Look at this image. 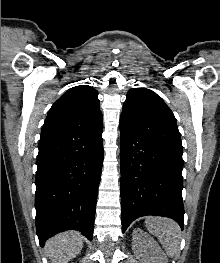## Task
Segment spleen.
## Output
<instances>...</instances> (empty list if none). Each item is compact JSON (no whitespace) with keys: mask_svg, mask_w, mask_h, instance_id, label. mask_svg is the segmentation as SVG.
Instances as JSON below:
<instances>
[{"mask_svg":"<svg viewBox=\"0 0 220 263\" xmlns=\"http://www.w3.org/2000/svg\"><path fill=\"white\" fill-rule=\"evenodd\" d=\"M145 226L152 235L158 238L169 257L179 255L181 229L175 221L169 218L148 217L145 220Z\"/></svg>","mask_w":220,"mask_h":263,"instance_id":"obj_1","label":"spleen"}]
</instances>
